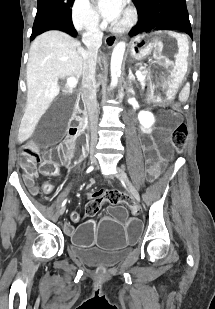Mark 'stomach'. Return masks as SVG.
Here are the masks:
<instances>
[{"instance_id": "0dacf381", "label": "stomach", "mask_w": 215, "mask_h": 309, "mask_svg": "<svg viewBox=\"0 0 215 309\" xmlns=\"http://www.w3.org/2000/svg\"><path fill=\"white\" fill-rule=\"evenodd\" d=\"M130 56L141 61L150 56L148 83L159 97L172 96L188 71L189 40L185 34L172 30L142 33L130 42Z\"/></svg>"}]
</instances>
